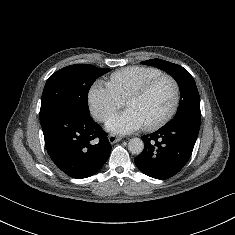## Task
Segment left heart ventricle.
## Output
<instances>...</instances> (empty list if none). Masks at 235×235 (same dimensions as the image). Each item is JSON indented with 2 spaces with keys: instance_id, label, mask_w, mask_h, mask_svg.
Wrapping results in <instances>:
<instances>
[{
  "instance_id": "obj_1",
  "label": "left heart ventricle",
  "mask_w": 235,
  "mask_h": 235,
  "mask_svg": "<svg viewBox=\"0 0 235 235\" xmlns=\"http://www.w3.org/2000/svg\"><path fill=\"white\" fill-rule=\"evenodd\" d=\"M173 98L174 90L171 83L163 80L144 97L130 101L127 108L135 111L146 125L166 114L172 105Z\"/></svg>"
}]
</instances>
